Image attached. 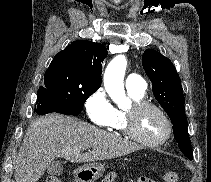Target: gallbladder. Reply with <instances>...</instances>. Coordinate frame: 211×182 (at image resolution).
<instances>
[{
  "instance_id": "bac80fb5",
  "label": "gallbladder",
  "mask_w": 211,
  "mask_h": 182,
  "mask_svg": "<svg viewBox=\"0 0 211 182\" xmlns=\"http://www.w3.org/2000/svg\"><path fill=\"white\" fill-rule=\"evenodd\" d=\"M47 173L53 176H60L63 173V166L59 161H53L46 167Z\"/></svg>"
}]
</instances>
